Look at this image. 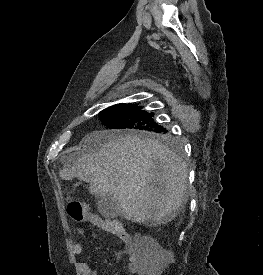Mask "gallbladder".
Masks as SVG:
<instances>
[{"mask_svg":"<svg viewBox=\"0 0 263 275\" xmlns=\"http://www.w3.org/2000/svg\"><path fill=\"white\" fill-rule=\"evenodd\" d=\"M97 207L99 213L106 218H116L124 213L121 204L110 195L99 196Z\"/></svg>","mask_w":263,"mask_h":275,"instance_id":"bac80fb5","label":"gallbladder"}]
</instances>
